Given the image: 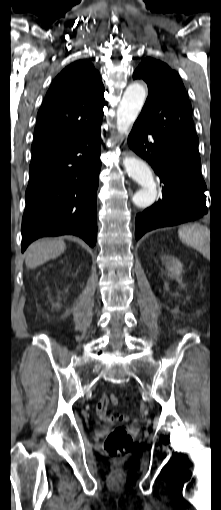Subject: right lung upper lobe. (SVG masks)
Masks as SVG:
<instances>
[{"mask_svg": "<svg viewBox=\"0 0 221 510\" xmlns=\"http://www.w3.org/2000/svg\"><path fill=\"white\" fill-rule=\"evenodd\" d=\"M104 86L88 60L66 67L53 81L38 111L32 152L81 135L102 122Z\"/></svg>", "mask_w": 221, "mask_h": 510, "instance_id": "obj_1", "label": "right lung upper lobe"}]
</instances>
